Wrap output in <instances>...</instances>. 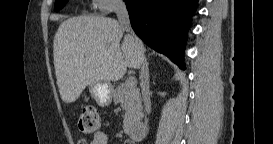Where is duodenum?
I'll return each instance as SVG.
<instances>
[{"label": "duodenum", "mask_w": 273, "mask_h": 144, "mask_svg": "<svg viewBox=\"0 0 273 144\" xmlns=\"http://www.w3.org/2000/svg\"><path fill=\"white\" fill-rule=\"evenodd\" d=\"M127 132L131 139L135 142H139L145 137V129L142 124L129 125Z\"/></svg>", "instance_id": "410a0bca"}]
</instances>
